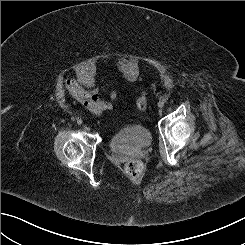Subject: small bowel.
I'll list each match as a JSON object with an SVG mask.
<instances>
[{
    "mask_svg": "<svg viewBox=\"0 0 245 245\" xmlns=\"http://www.w3.org/2000/svg\"><path fill=\"white\" fill-rule=\"evenodd\" d=\"M65 84L70 95L96 116L109 112L113 108V102L118 98V91L111 82L91 89H85L73 78H68ZM108 91L110 92V100L104 101L98 98L100 92Z\"/></svg>",
    "mask_w": 245,
    "mask_h": 245,
    "instance_id": "1",
    "label": "small bowel"
}]
</instances>
